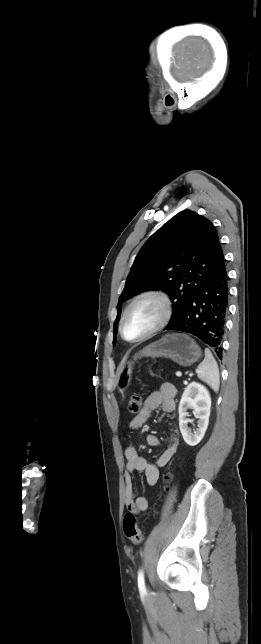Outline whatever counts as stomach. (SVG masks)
Returning a JSON list of instances; mask_svg holds the SVG:
<instances>
[{
  "label": "stomach",
  "mask_w": 261,
  "mask_h": 644,
  "mask_svg": "<svg viewBox=\"0 0 261 644\" xmlns=\"http://www.w3.org/2000/svg\"><path fill=\"white\" fill-rule=\"evenodd\" d=\"M201 349L196 342L185 334H167L161 339L149 344L135 355L134 360L141 357L169 358L183 367L193 365L201 357ZM133 362L124 363L119 374L118 389L126 390L131 381Z\"/></svg>",
  "instance_id": "stomach-1"
}]
</instances>
